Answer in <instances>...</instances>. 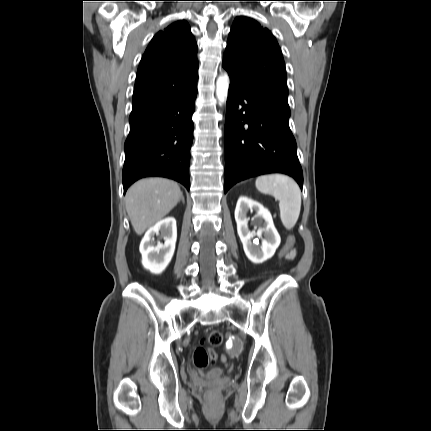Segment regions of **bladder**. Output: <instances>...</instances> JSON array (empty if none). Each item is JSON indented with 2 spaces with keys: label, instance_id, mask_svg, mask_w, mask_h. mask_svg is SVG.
<instances>
[{
  "label": "bladder",
  "instance_id": "31cf9c89",
  "mask_svg": "<svg viewBox=\"0 0 431 431\" xmlns=\"http://www.w3.org/2000/svg\"><path fill=\"white\" fill-rule=\"evenodd\" d=\"M225 370L223 368H213L209 371L208 376L209 377H218L224 374Z\"/></svg>",
  "mask_w": 431,
  "mask_h": 431
}]
</instances>
